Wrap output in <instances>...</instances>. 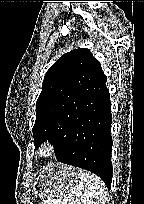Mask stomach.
<instances>
[{
  "instance_id": "1",
  "label": "stomach",
  "mask_w": 144,
  "mask_h": 204,
  "mask_svg": "<svg viewBox=\"0 0 144 204\" xmlns=\"http://www.w3.org/2000/svg\"><path fill=\"white\" fill-rule=\"evenodd\" d=\"M78 172L73 167L55 164L46 167L33 184L35 196H39L43 203L61 194H66L78 184Z\"/></svg>"
}]
</instances>
